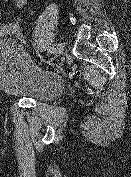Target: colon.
Masks as SVG:
<instances>
[{
	"mask_svg": "<svg viewBox=\"0 0 131 177\" xmlns=\"http://www.w3.org/2000/svg\"><path fill=\"white\" fill-rule=\"evenodd\" d=\"M9 22L11 23L13 37H15L22 44L26 45L27 39L22 31V24H20L19 14L16 8L11 11Z\"/></svg>",
	"mask_w": 131,
	"mask_h": 177,
	"instance_id": "1",
	"label": "colon"
}]
</instances>
